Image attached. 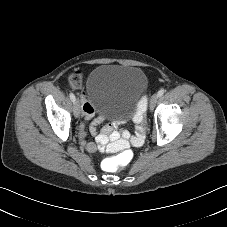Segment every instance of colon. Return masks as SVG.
I'll list each match as a JSON object with an SVG mask.
<instances>
[{"label":"colon","instance_id":"5ec220e1","mask_svg":"<svg viewBox=\"0 0 227 227\" xmlns=\"http://www.w3.org/2000/svg\"><path fill=\"white\" fill-rule=\"evenodd\" d=\"M70 82H76V78L71 79ZM140 109H141V107L138 108L139 111H138L137 114L135 115V120L138 121V122H140L141 119H142ZM116 161H117L120 165L125 164V162H126V160L124 159V156H122V155H120V156L116 159Z\"/></svg>","mask_w":227,"mask_h":227}]
</instances>
